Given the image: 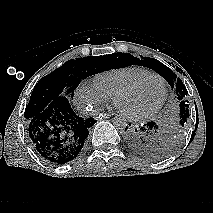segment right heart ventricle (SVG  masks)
<instances>
[{
	"label": "right heart ventricle",
	"instance_id": "1",
	"mask_svg": "<svg viewBox=\"0 0 213 213\" xmlns=\"http://www.w3.org/2000/svg\"><path fill=\"white\" fill-rule=\"evenodd\" d=\"M151 71L139 66H125L104 71L96 75L94 83L109 98L134 79Z\"/></svg>",
	"mask_w": 213,
	"mask_h": 213
}]
</instances>
